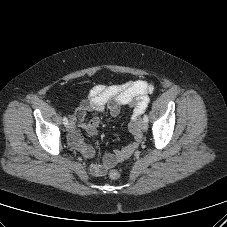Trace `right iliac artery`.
Returning <instances> with one entry per match:
<instances>
[{
    "label": "right iliac artery",
    "instance_id": "82829eb1",
    "mask_svg": "<svg viewBox=\"0 0 227 227\" xmlns=\"http://www.w3.org/2000/svg\"><path fill=\"white\" fill-rule=\"evenodd\" d=\"M63 124L67 125L68 124V119L66 117H63Z\"/></svg>",
    "mask_w": 227,
    "mask_h": 227
}]
</instances>
